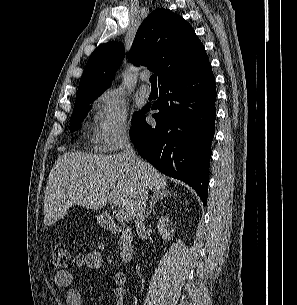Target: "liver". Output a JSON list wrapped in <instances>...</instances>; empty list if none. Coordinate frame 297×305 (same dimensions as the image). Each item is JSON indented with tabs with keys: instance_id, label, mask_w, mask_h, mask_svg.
<instances>
[{
	"instance_id": "6515ba94",
	"label": "liver",
	"mask_w": 297,
	"mask_h": 305,
	"mask_svg": "<svg viewBox=\"0 0 297 305\" xmlns=\"http://www.w3.org/2000/svg\"><path fill=\"white\" fill-rule=\"evenodd\" d=\"M141 163L147 188L152 191L165 190L166 177L148 162ZM135 189V176L127 166L123 153H63L48 177L44 196V225L50 226L62 219L73 205L98 210L107 202L122 207L132 219Z\"/></svg>"
}]
</instances>
